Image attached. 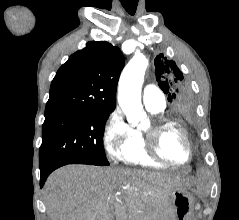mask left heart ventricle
<instances>
[{"mask_svg": "<svg viewBox=\"0 0 239 220\" xmlns=\"http://www.w3.org/2000/svg\"><path fill=\"white\" fill-rule=\"evenodd\" d=\"M147 125V122L143 127ZM161 153L174 162H183L187 158V147L181 133L174 127L166 128L160 135Z\"/></svg>", "mask_w": 239, "mask_h": 220, "instance_id": "obj_1", "label": "left heart ventricle"}]
</instances>
